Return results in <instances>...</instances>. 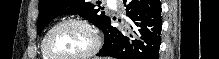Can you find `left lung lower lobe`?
<instances>
[{"label": "left lung lower lobe", "instance_id": "left-lung-lower-lobe-1", "mask_svg": "<svg viewBox=\"0 0 219 59\" xmlns=\"http://www.w3.org/2000/svg\"><path fill=\"white\" fill-rule=\"evenodd\" d=\"M128 22L124 29L111 26L109 19L101 29L105 42L98 56L116 59H158L162 28L159 0H124Z\"/></svg>", "mask_w": 219, "mask_h": 59}]
</instances>
